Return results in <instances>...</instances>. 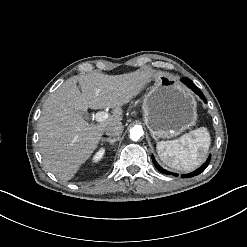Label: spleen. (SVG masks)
<instances>
[{
    "instance_id": "spleen-1",
    "label": "spleen",
    "mask_w": 247,
    "mask_h": 247,
    "mask_svg": "<svg viewBox=\"0 0 247 247\" xmlns=\"http://www.w3.org/2000/svg\"><path fill=\"white\" fill-rule=\"evenodd\" d=\"M211 134L207 127H200L175 141L159 142L156 150L160 160L178 170L192 172L206 160L211 147ZM169 147H173L171 151Z\"/></svg>"
}]
</instances>
